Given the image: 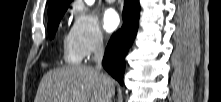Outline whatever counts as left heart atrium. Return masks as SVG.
I'll list each match as a JSON object with an SVG mask.
<instances>
[{
	"instance_id": "39dd6f15",
	"label": "left heart atrium",
	"mask_w": 221,
	"mask_h": 102,
	"mask_svg": "<svg viewBox=\"0 0 221 102\" xmlns=\"http://www.w3.org/2000/svg\"><path fill=\"white\" fill-rule=\"evenodd\" d=\"M120 23L118 13L114 9H107L103 15V27L105 31L111 32L115 30Z\"/></svg>"
}]
</instances>
